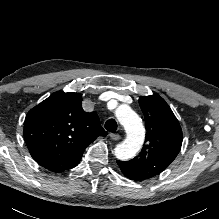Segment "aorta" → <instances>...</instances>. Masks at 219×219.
<instances>
[{"instance_id":"1","label":"aorta","mask_w":219,"mask_h":219,"mask_svg":"<svg viewBox=\"0 0 219 219\" xmlns=\"http://www.w3.org/2000/svg\"><path fill=\"white\" fill-rule=\"evenodd\" d=\"M116 117L124 126L127 138L115 148V156L120 160H128L141 149L145 139V128L140 117L127 105L116 110Z\"/></svg>"}]
</instances>
